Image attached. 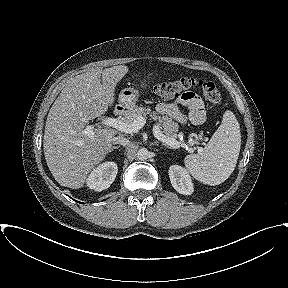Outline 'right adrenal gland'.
I'll use <instances>...</instances> for the list:
<instances>
[{
  "mask_svg": "<svg viewBox=\"0 0 288 288\" xmlns=\"http://www.w3.org/2000/svg\"><path fill=\"white\" fill-rule=\"evenodd\" d=\"M120 146H113L110 150V152L114 151L115 149H118Z\"/></svg>",
  "mask_w": 288,
  "mask_h": 288,
  "instance_id": "1",
  "label": "right adrenal gland"
}]
</instances>
